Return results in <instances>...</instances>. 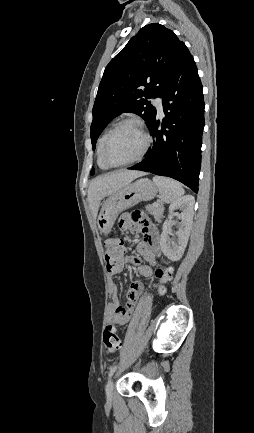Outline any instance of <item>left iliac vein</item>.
Here are the masks:
<instances>
[{"mask_svg":"<svg viewBox=\"0 0 254 433\" xmlns=\"http://www.w3.org/2000/svg\"><path fill=\"white\" fill-rule=\"evenodd\" d=\"M113 388H114V381H113V379H110L107 383V386H106V395H107L108 400L112 399Z\"/></svg>","mask_w":254,"mask_h":433,"instance_id":"4c4485c4","label":"left iliac vein"}]
</instances>
